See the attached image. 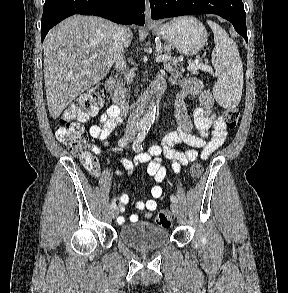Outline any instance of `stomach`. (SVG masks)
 I'll use <instances>...</instances> for the list:
<instances>
[{"label":"stomach","mask_w":288,"mask_h":293,"mask_svg":"<svg viewBox=\"0 0 288 293\" xmlns=\"http://www.w3.org/2000/svg\"><path fill=\"white\" fill-rule=\"evenodd\" d=\"M150 29L180 53L191 56L205 46L208 39L204 25L194 17L185 16L159 23Z\"/></svg>","instance_id":"0dacf381"}]
</instances>
